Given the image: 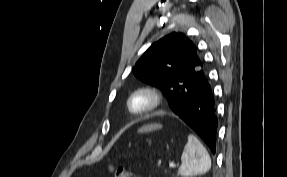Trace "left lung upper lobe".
I'll list each match as a JSON object with an SVG mask.
<instances>
[{
  "mask_svg": "<svg viewBox=\"0 0 287 177\" xmlns=\"http://www.w3.org/2000/svg\"><path fill=\"white\" fill-rule=\"evenodd\" d=\"M194 44L182 33H171L153 43L133 67L137 78L159 87L170 108L180 102L203 74Z\"/></svg>",
  "mask_w": 287,
  "mask_h": 177,
  "instance_id": "5c2ea615",
  "label": "left lung upper lobe"
}]
</instances>
